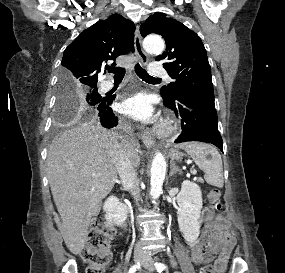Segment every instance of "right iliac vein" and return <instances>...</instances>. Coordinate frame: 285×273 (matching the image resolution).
I'll return each instance as SVG.
<instances>
[{"mask_svg":"<svg viewBox=\"0 0 285 273\" xmlns=\"http://www.w3.org/2000/svg\"><path fill=\"white\" fill-rule=\"evenodd\" d=\"M144 259V255L142 253H135L134 254V261L136 263L141 262Z\"/></svg>","mask_w":285,"mask_h":273,"instance_id":"right-iliac-vein-1","label":"right iliac vein"}]
</instances>
